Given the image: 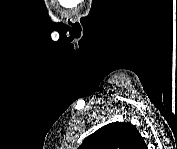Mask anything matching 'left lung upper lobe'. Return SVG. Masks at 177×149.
Instances as JSON below:
<instances>
[{"label": "left lung upper lobe", "instance_id": "5c2ea615", "mask_svg": "<svg viewBox=\"0 0 177 149\" xmlns=\"http://www.w3.org/2000/svg\"><path fill=\"white\" fill-rule=\"evenodd\" d=\"M137 128L128 122L107 124L83 140L79 149H145Z\"/></svg>", "mask_w": 177, "mask_h": 149}]
</instances>
